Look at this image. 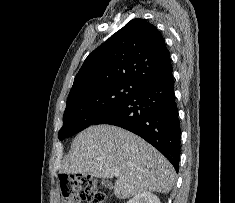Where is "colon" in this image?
<instances>
[{
  "instance_id": "1",
  "label": "colon",
  "mask_w": 235,
  "mask_h": 203,
  "mask_svg": "<svg viewBox=\"0 0 235 203\" xmlns=\"http://www.w3.org/2000/svg\"><path fill=\"white\" fill-rule=\"evenodd\" d=\"M59 187L61 203H105L106 194L101 190L96 181L86 175H60Z\"/></svg>"
}]
</instances>
